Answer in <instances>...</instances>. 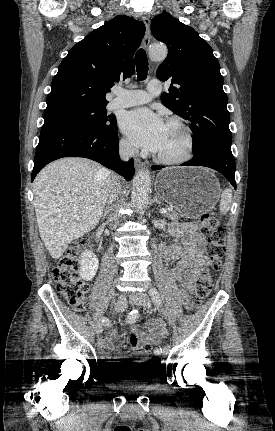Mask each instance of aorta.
I'll list each match as a JSON object with an SVG mask.
<instances>
[{
	"mask_svg": "<svg viewBox=\"0 0 275 431\" xmlns=\"http://www.w3.org/2000/svg\"><path fill=\"white\" fill-rule=\"evenodd\" d=\"M149 56L153 61H163L167 56V48L164 45H152ZM151 192V176L147 169H140L133 178L132 203L137 210H141L148 202Z\"/></svg>",
	"mask_w": 275,
	"mask_h": 431,
	"instance_id": "1",
	"label": "aorta"
}]
</instances>
